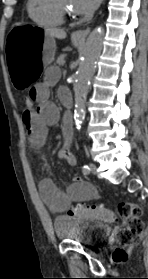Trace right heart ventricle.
<instances>
[{"label": "right heart ventricle", "instance_id": "1", "mask_svg": "<svg viewBox=\"0 0 148 279\" xmlns=\"http://www.w3.org/2000/svg\"><path fill=\"white\" fill-rule=\"evenodd\" d=\"M26 7L29 17L41 26H59L64 21L53 0H27Z\"/></svg>", "mask_w": 148, "mask_h": 279}]
</instances>
